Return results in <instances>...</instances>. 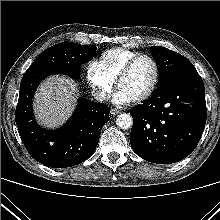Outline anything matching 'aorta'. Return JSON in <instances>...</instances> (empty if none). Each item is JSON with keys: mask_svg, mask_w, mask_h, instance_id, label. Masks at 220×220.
<instances>
[{"mask_svg": "<svg viewBox=\"0 0 220 220\" xmlns=\"http://www.w3.org/2000/svg\"><path fill=\"white\" fill-rule=\"evenodd\" d=\"M116 124L121 129L127 130V129H129L132 126L133 119H132L130 114H128V113H121L116 118Z\"/></svg>", "mask_w": 220, "mask_h": 220, "instance_id": "aorta-1", "label": "aorta"}]
</instances>
